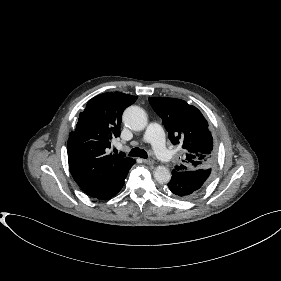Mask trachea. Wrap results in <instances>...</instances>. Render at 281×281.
I'll return each instance as SVG.
<instances>
[{
    "label": "trachea",
    "instance_id": "3493384b",
    "mask_svg": "<svg viewBox=\"0 0 281 281\" xmlns=\"http://www.w3.org/2000/svg\"><path fill=\"white\" fill-rule=\"evenodd\" d=\"M129 156L141 157V158H144V159H147V157H148L147 152L143 149H140V148H133L130 151Z\"/></svg>",
    "mask_w": 281,
    "mask_h": 281
}]
</instances>
